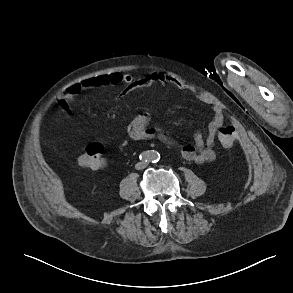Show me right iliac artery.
<instances>
[{
  "instance_id": "1",
  "label": "right iliac artery",
  "mask_w": 293,
  "mask_h": 293,
  "mask_svg": "<svg viewBox=\"0 0 293 293\" xmlns=\"http://www.w3.org/2000/svg\"><path fill=\"white\" fill-rule=\"evenodd\" d=\"M140 160L142 161H150L151 160V153L149 151L143 152L139 156Z\"/></svg>"
}]
</instances>
